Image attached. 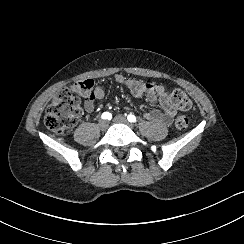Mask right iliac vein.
Here are the masks:
<instances>
[{"label":"right iliac vein","mask_w":244,"mask_h":244,"mask_svg":"<svg viewBox=\"0 0 244 244\" xmlns=\"http://www.w3.org/2000/svg\"><path fill=\"white\" fill-rule=\"evenodd\" d=\"M98 125L101 130H106L108 128L109 123L106 120H100Z\"/></svg>","instance_id":"right-iliac-vein-1"}]
</instances>
